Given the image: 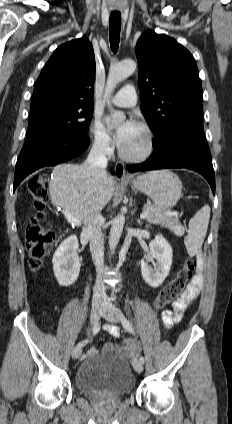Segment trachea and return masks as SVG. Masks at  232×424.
I'll return each mask as SVG.
<instances>
[{"instance_id": "1", "label": "trachea", "mask_w": 232, "mask_h": 424, "mask_svg": "<svg viewBox=\"0 0 232 424\" xmlns=\"http://www.w3.org/2000/svg\"><path fill=\"white\" fill-rule=\"evenodd\" d=\"M121 30V14L111 13L110 14V46L111 50L116 53L119 46Z\"/></svg>"}]
</instances>
